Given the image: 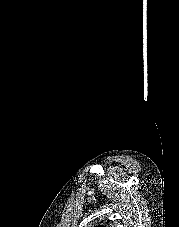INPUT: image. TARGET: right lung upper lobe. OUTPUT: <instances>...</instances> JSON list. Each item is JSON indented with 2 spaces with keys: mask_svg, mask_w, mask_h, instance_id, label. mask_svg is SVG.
I'll use <instances>...</instances> for the list:
<instances>
[{
  "mask_svg": "<svg viewBox=\"0 0 179 227\" xmlns=\"http://www.w3.org/2000/svg\"><path fill=\"white\" fill-rule=\"evenodd\" d=\"M94 227H105V226H102V225H97V226H94Z\"/></svg>",
  "mask_w": 179,
  "mask_h": 227,
  "instance_id": "right-lung-upper-lobe-1",
  "label": "right lung upper lobe"
}]
</instances>
